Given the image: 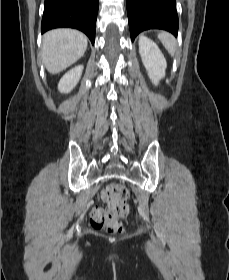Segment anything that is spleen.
Here are the masks:
<instances>
[{
	"instance_id": "spleen-1",
	"label": "spleen",
	"mask_w": 229,
	"mask_h": 280,
	"mask_svg": "<svg viewBox=\"0 0 229 280\" xmlns=\"http://www.w3.org/2000/svg\"><path fill=\"white\" fill-rule=\"evenodd\" d=\"M159 40L162 42L164 47L167 49V51L170 53L171 56L175 55L176 52V39L167 32H161L158 34Z\"/></svg>"
}]
</instances>
